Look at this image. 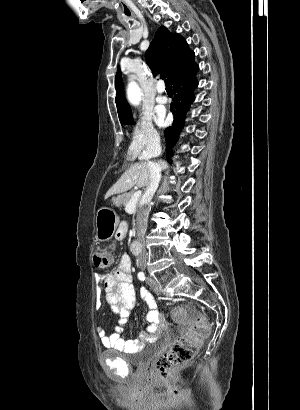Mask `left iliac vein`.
I'll return each mask as SVG.
<instances>
[{
  "instance_id": "obj_1",
  "label": "left iliac vein",
  "mask_w": 300,
  "mask_h": 410,
  "mask_svg": "<svg viewBox=\"0 0 300 410\" xmlns=\"http://www.w3.org/2000/svg\"><path fill=\"white\" fill-rule=\"evenodd\" d=\"M149 284L152 287V289L154 290V292L156 294H161V288L159 286V284L151 277L148 278Z\"/></svg>"
}]
</instances>
